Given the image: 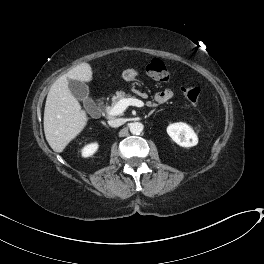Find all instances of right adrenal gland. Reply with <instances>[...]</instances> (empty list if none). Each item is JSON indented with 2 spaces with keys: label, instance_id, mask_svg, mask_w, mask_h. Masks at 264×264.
I'll list each match as a JSON object with an SVG mask.
<instances>
[{
  "label": "right adrenal gland",
  "instance_id": "right-adrenal-gland-1",
  "mask_svg": "<svg viewBox=\"0 0 264 264\" xmlns=\"http://www.w3.org/2000/svg\"><path fill=\"white\" fill-rule=\"evenodd\" d=\"M102 124H103L104 126L108 127L104 122H102Z\"/></svg>",
  "mask_w": 264,
  "mask_h": 264
}]
</instances>
